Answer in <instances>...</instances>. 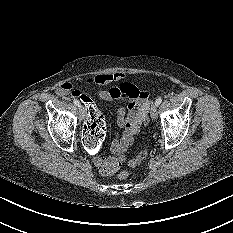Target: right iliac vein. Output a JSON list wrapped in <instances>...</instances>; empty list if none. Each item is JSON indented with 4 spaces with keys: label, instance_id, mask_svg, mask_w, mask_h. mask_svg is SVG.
Wrapping results in <instances>:
<instances>
[{
    "label": "right iliac vein",
    "instance_id": "63e3f726",
    "mask_svg": "<svg viewBox=\"0 0 233 233\" xmlns=\"http://www.w3.org/2000/svg\"><path fill=\"white\" fill-rule=\"evenodd\" d=\"M79 116H80V118L83 120L84 118H85V116H86V110H85V108L83 107V106H80V108H79Z\"/></svg>",
    "mask_w": 233,
    "mask_h": 233
}]
</instances>
